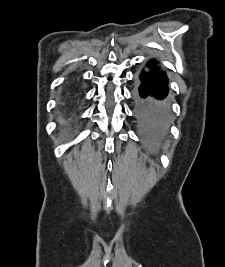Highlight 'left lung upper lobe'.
<instances>
[{"label":"left lung upper lobe","instance_id":"obj_1","mask_svg":"<svg viewBox=\"0 0 225 267\" xmlns=\"http://www.w3.org/2000/svg\"><path fill=\"white\" fill-rule=\"evenodd\" d=\"M137 117L141 128L147 133H164L167 130L168 125L154 122L145 108L137 107Z\"/></svg>","mask_w":225,"mask_h":267}]
</instances>
